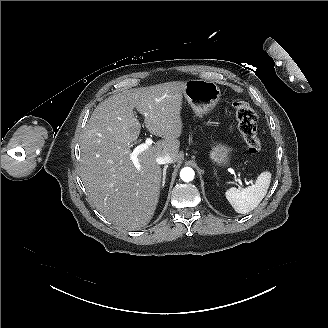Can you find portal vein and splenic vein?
<instances>
[{
  "label": "portal vein and splenic vein",
  "instance_id": "18ae733b",
  "mask_svg": "<svg viewBox=\"0 0 328 328\" xmlns=\"http://www.w3.org/2000/svg\"><path fill=\"white\" fill-rule=\"evenodd\" d=\"M152 143H153V140L151 138H147L146 141H145V143H142V144L136 146L133 149L132 153L130 154V159H131V161L133 162L135 168L138 171H140V169H141V165H140V163L138 161V155L140 153H142L143 151H145L146 149H148L149 146L152 145ZM236 181H238V183L240 185H242V181L240 179H237ZM247 184H249V182H247Z\"/></svg>",
  "mask_w": 328,
  "mask_h": 328
}]
</instances>
